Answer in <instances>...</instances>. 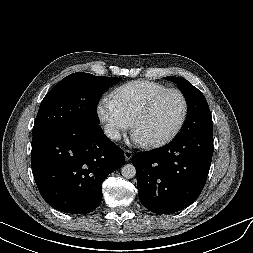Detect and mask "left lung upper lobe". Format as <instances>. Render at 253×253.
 Masks as SVG:
<instances>
[{
  "instance_id": "1",
  "label": "left lung upper lobe",
  "mask_w": 253,
  "mask_h": 253,
  "mask_svg": "<svg viewBox=\"0 0 253 253\" xmlns=\"http://www.w3.org/2000/svg\"><path fill=\"white\" fill-rule=\"evenodd\" d=\"M178 84L187 102V117L177 136L213 129L211 112L204 95L187 80L180 77H166Z\"/></svg>"
}]
</instances>
